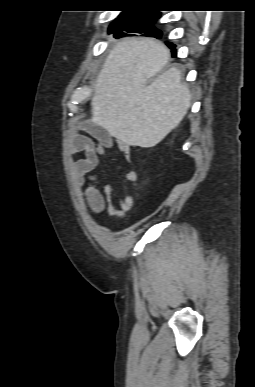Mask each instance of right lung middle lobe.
Returning a JSON list of instances; mask_svg holds the SVG:
<instances>
[{
	"label": "right lung middle lobe",
	"mask_w": 255,
	"mask_h": 387,
	"mask_svg": "<svg viewBox=\"0 0 255 387\" xmlns=\"http://www.w3.org/2000/svg\"><path fill=\"white\" fill-rule=\"evenodd\" d=\"M159 17L158 12H131L121 14L109 27V33H118L121 31H127L130 33H144L155 32V34L161 35V31L156 29L153 24ZM122 35L121 33L116 34ZM152 35V34H148Z\"/></svg>",
	"instance_id": "1"
}]
</instances>
